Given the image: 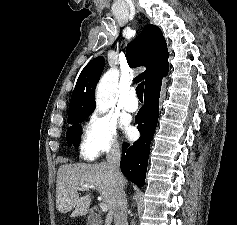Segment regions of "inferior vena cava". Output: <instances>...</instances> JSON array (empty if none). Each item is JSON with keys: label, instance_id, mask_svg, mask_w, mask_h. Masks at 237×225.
I'll use <instances>...</instances> for the list:
<instances>
[{"label": "inferior vena cava", "instance_id": "obj_1", "mask_svg": "<svg viewBox=\"0 0 237 225\" xmlns=\"http://www.w3.org/2000/svg\"><path fill=\"white\" fill-rule=\"evenodd\" d=\"M107 165L115 180L116 203L114 209V225H128L127 200L124 191L125 178L120 171L121 153L119 144H112L106 155Z\"/></svg>", "mask_w": 237, "mask_h": 225}]
</instances>
